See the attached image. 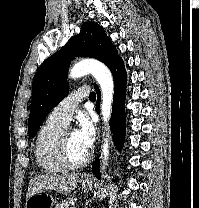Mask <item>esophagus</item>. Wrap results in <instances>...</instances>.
Segmentation results:
<instances>
[{
    "instance_id": "obj_1",
    "label": "esophagus",
    "mask_w": 199,
    "mask_h": 208,
    "mask_svg": "<svg viewBox=\"0 0 199 208\" xmlns=\"http://www.w3.org/2000/svg\"><path fill=\"white\" fill-rule=\"evenodd\" d=\"M84 178H86V179L89 178V175H84Z\"/></svg>"
}]
</instances>
